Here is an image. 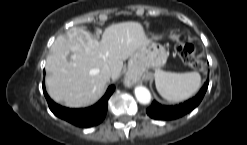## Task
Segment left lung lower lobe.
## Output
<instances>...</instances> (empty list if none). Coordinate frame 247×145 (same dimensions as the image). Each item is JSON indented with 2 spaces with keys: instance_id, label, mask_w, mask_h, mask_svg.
I'll list each match as a JSON object with an SVG mask.
<instances>
[{
  "instance_id": "1",
  "label": "left lung lower lobe",
  "mask_w": 247,
  "mask_h": 145,
  "mask_svg": "<svg viewBox=\"0 0 247 145\" xmlns=\"http://www.w3.org/2000/svg\"><path fill=\"white\" fill-rule=\"evenodd\" d=\"M208 84L209 81L207 80L202 90L195 97L189 99L185 103H181L176 106H164L154 100L146 112L151 118L154 119L171 120L179 118L198 106L205 95Z\"/></svg>"
}]
</instances>
